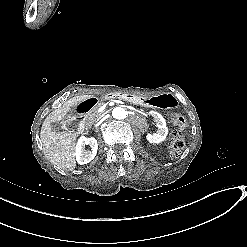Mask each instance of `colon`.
I'll list each match as a JSON object with an SVG mask.
<instances>
[{
	"label": "colon",
	"mask_w": 247,
	"mask_h": 247,
	"mask_svg": "<svg viewBox=\"0 0 247 247\" xmlns=\"http://www.w3.org/2000/svg\"><path fill=\"white\" fill-rule=\"evenodd\" d=\"M175 122L178 126V131L175 132L172 136V142L170 145L172 157L179 156L185 148V141L181 132L186 125L185 116L183 114H178L175 118Z\"/></svg>",
	"instance_id": "obj_1"
}]
</instances>
